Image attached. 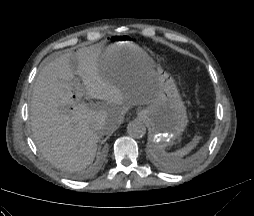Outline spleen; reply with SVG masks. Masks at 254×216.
<instances>
[{
  "label": "spleen",
  "instance_id": "3e777b00",
  "mask_svg": "<svg viewBox=\"0 0 254 216\" xmlns=\"http://www.w3.org/2000/svg\"><path fill=\"white\" fill-rule=\"evenodd\" d=\"M200 137H194L193 140L188 143L185 147L180 150H177L173 153H167L162 149H157L156 153L159 160L167 166L175 167L179 162L180 158L187 155L194 146L198 143Z\"/></svg>",
  "mask_w": 254,
  "mask_h": 216
}]
</instances>
